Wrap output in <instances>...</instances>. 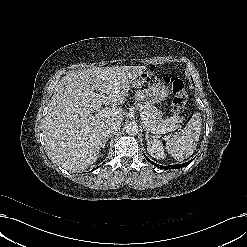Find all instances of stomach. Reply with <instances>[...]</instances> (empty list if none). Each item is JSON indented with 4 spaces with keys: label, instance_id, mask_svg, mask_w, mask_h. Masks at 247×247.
Listing matches in <instances>:
<instances>
[{
    "label": "stomach",
    "instance_id": "obj_1",
    "mask_svg": "<svg viewBox=\"0 0 247 247\" xmlns=\"http://www.w3.org/2000/svg\"><path fill=\"white\" fill-rule=\"evenodd\" d=\"M142 74L140 75L139 79H136L131 83L132 87L139 88L143 84L144 79ZM170 93V89L165 84L158 82L153 83L147 89L138 91L136 93V99L149 102L151 104H157L167 99Z\"/></svg>",
    "mask_w": 247,
    "mask_h": 247
}]
</instances>
